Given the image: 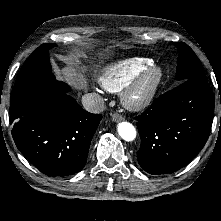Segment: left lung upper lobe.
Masks as SVG:
<instances>
[{"instance_id":"5c2ea615","label":"left lung upper lobe","mask_w":221,"mask_h":221,"mask_svg":"<svg viewBox=\"0 0 221 221\" xmlns=\"http://www.w3.org/2000/svg\"><path fill=\"white\" fill-rule=\"evenodd\" d=\"M179 50L176 78L181 83L189 79H207L193 50L183 42L175 43Z\"/></svg>"}]
</instances>
